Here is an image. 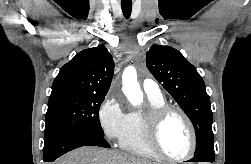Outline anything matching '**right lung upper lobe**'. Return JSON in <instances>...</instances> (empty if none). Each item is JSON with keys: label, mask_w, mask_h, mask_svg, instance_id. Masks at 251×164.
I'll use <instances>...</instances> for the list:
<instances>
[{"label": "right lung upper lobe", "mask_w": 251, "mask_h": 164, "mask_svg": "<svg viewBox=\"0 0 251 164\" xmlns=\"http://www.w3.org/2000/svg\"><path fill=\"white\" fill-rule=\"evenodd\" d=\"M113 72V58L104 46L85 49L60 69L53 82L52 93L79 92L106 95Z\"/></svg>", "instance_id": "right-lung-upper-lobe-1"}]
</instances>
